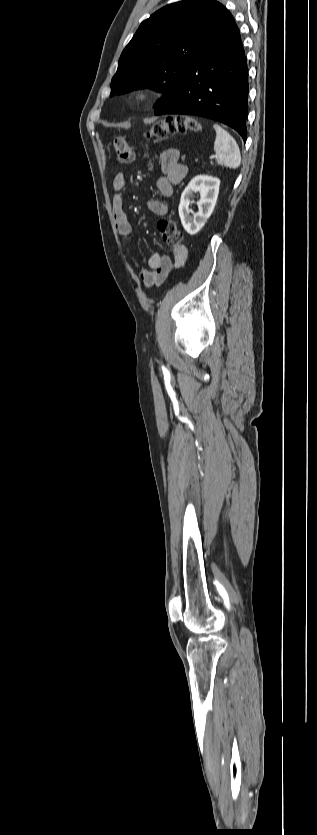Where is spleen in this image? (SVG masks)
<instances>
[{"label": "spleen", "mask_w": 317, "mask_h": 835, "mask_svg": "<svg viewBox=\"0 0 317 835\" xmlns=\"http://www.w3.org/2000/svg\"><path fill=\"white\" fill-rule=\"evenodd\" d=\"M213 128L216 131L214 151L217 163L227 168H238L241 164V155L235 139L218 124H214Z\"/></svg>", "instance_id": "1"}]
</instances>
